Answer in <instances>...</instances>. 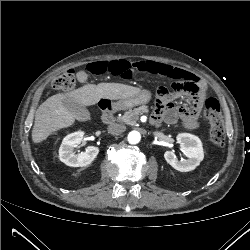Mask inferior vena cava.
<instances>
[{
	"label": "inferior vena cava",
	"mask_w": 250,
	"mask_h": 250,
	"mask_svg": "<svg viewBox=\"0 0 250 250\" xmlns=\"http://www.w3.org/2000/svg\"><path fill=\"white\" fill-rule=\"evenodd\" d=\"M126 130V127L121 124H111L108 126V132L111 134H121Z\"/></svg>",
	"instance_id": "1"
}]
</instances>
